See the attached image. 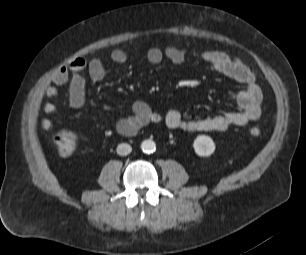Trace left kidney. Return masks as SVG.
Returning <instances> with one entry per match:
<instances>
[{
    "mask_svg": "<svg viewBox=\"0 0 306 255\" xmlns=\"http://www.w3.org/2000/svg\"><path fill=\"white\" fill-rule=\"evenodd\" d=\"M193 148L197 155L207 157L215 151V144L211 137L199 135L194 140Z\"/></svg>",
    "mask_w": 306,
    "mask_h": 255,
    "instance_id": "obj_1",
    "label": "left kidney"
}]
</instances>
